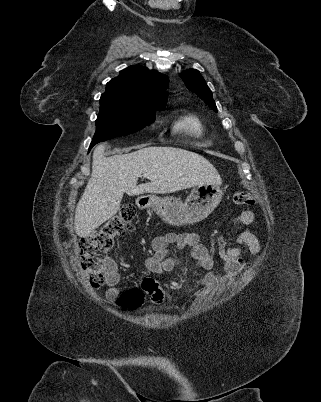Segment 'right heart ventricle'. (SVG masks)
Returning a JSON list of instances; mask_svg holds the SVG:
<instances>
[{"mask_svg": "<svg viewBox=\"0 0 321 402\" xmlns=\"http://www.w3.org/2000/svg\"><path fill=\"white\" fill-rule=\"evenodd\" d=\"M173 130L184 136L205 141L206 126L200 116L194 112L181 115L174 122Z\"/></svg>", "mask_w": 321, "mask_h": 402, "instance_id": "right-heart-ventricle-1", "label": "right heart ventricle"}]
</instances>
